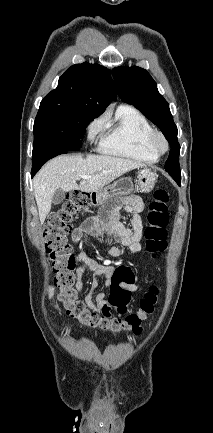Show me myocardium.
<instances>
[{
  "label": "myocardium",
  "instance_id": "myocardium-1",
  "mask_svg": "<svg viewBox=\"0 0 213 433\" xmlns=\"http://www.w3.org/2000/svg\"><path fill=\"white\" fill-rule=\"evenodd\" d=\"M150 145L151 147L159 154H164L169 150V143L166 137L157 131H154L150 136Z\"/></svg>",
  "mask_w": 213,
  "mask_h": 433
}]
</instances>
